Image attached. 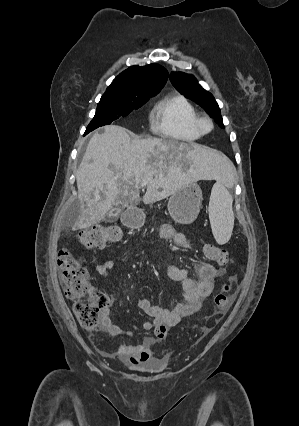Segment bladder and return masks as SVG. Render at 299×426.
<instances>
[{"label":"bladder","mask_w":299,"mask_h":426,"mask_svg":"<svg viewBox=\"0 0 299 426\" xmlns=\"http://www.w3.org/2000/svg\"><path fill=\"white\" fill-rule=\"evenodd\" d=\"M162 369V363L157 360L142 362L132 366V370L142 373H156Z\"/></svg>","instance_id":"1"}]
</instances>
